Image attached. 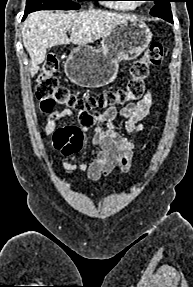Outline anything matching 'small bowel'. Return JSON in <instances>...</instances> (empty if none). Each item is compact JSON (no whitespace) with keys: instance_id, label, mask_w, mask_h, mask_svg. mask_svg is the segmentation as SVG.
I'll return each instance as SVG.
<instances>
[{"instance_id":"1","label":"small bowel","mask_w":193,"mask_h":287,"mask_svg":"<svg viewBox=\"0 0 193 287\" xmlns=\"http://www.w3.org/2000/svg\"><path fill=\"white\" fill-rule=\"evenodd\" d=\"M152 101L151 91L148 90L139 102L126 104L120 111L116 107L105 110L99 122L107 123V129L100 124L87 128L80 127L75 122H62L73 116L70 110H64L49 120L42 132L44 135L51 134L52 147L56 148L60 156H85V150H81L86 144L85 133L92 131L94 159L80 163L60 160V164L67 176H72L75 172H86L90 180L97 181L110 175L116 167L123 172L129 171L135 145L127 135L145 129ZM118 115L124 118L122 133L115 131L112 123Z\"/></svg>"}]
</instances>
